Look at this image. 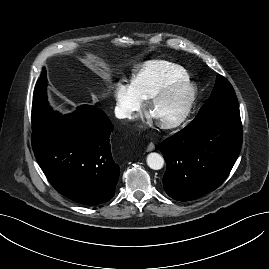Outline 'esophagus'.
I'll return each mask as SVG.
<instances>
[{"label": "esophagus", "mask_w": 269, "mask_h": 269, "mask_svg": "<svg viewBox=\"0 0 269 269\" xmlns=\"http://www.w3.org/2000/svg\"><path fill=\"white\" fill-rule=\"evenodd\" d=\"M154 149H155V145L153 143H149L147 146V151L150 152V151H153Z\"/></svg>", "instance_id": "34e87169"}]
</instances>
